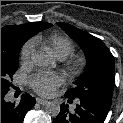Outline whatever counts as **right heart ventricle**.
Masks as SVG:
<instances>
[{
	"label": "right heart ventricle",
	"instance_id": "right-heart-ventricle-1",
	"mask_svg": "<svg viewBox=\"0 0 123 123\" xmlns=\"http://www.w3.org/2000/svg\"><path fill=\"white\" fill-rule=\"evenodd\" d=\"M33 41L43 43L59 59H65L75 51L72 40L60 34L37 36Z\"/></svg>",
	"mask_w": 123,
	"mask_h": 123
}]
</instances>
